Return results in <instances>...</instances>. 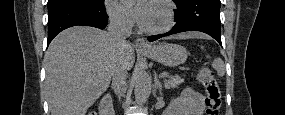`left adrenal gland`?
I'll return each mask as SVG.
<instances>
[{"label":"left adrenal gland","mask_w":285,"mask_h":115,"mask_svg":"<svg viewBox=\"0 0 285 115\" xmlns=\"http://www.w3.org/2000/svg\"><path fill=\"white\" fill-rule=\"evenodd\" d=\"M155 88L159 90V94L162 95V83L158 80V77L155 75Z\"/></svg>","instance_id":"obj_1"}]
</instances>
